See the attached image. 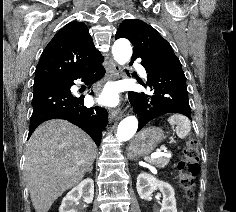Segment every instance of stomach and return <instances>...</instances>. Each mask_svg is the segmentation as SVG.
I'll list each match as a JSON object with an SVG mask.
<instances>
[{"instance_id": "stomach-1", "label": "stomach", "mask_w": 236, "mask_h": 212, "mask_svg": "<svg viewBox=\"0 0 236 212\" xmlns=\"http://www.w3.org/2000/svg\"><path fill=\"white\" fill-rule=\"evenodd\" d=\"M165 133L157 127H149L140 131L129 146V156L138 157L151 153L165 139Z\"/></svg>"}]
</instances>
